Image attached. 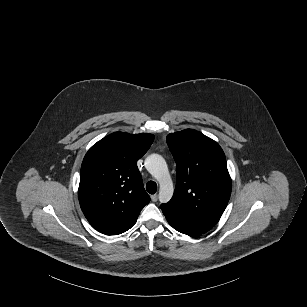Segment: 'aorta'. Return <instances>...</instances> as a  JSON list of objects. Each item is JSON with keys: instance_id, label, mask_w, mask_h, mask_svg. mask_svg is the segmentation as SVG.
Wrapping results in <instances>:
<instances>
[{"instance_id": "762f6f07", "label": "aorta", "mask_w": 307, "mask_h": 307, "mask_svg": "<svg viewBox=\"0 0 307 307\" xmlns=\"http://www.w3.org/2000/svg\"><path fill=\"white\" fill-rule=\"evenodd\" d=\"M144 166L160 182L159 202L168 203L173 197L174 190L165 159L158 153H151L145 158Z\"/></svg>"}]
</instances>
